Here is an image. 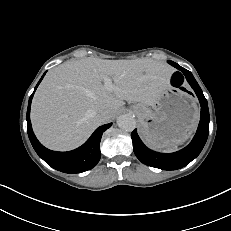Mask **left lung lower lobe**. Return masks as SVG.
Masks as SVG:
<instances>
[{"instance_id": "0a47b994", "label": "left lung lower lobe", "mask_w": 231, "mask_h": 231, "mask_svg": "<svg viewBox=\"0 0 231 231\" xmlns=\"http://www.w3.org/2000/svg\"><path fill=\"white\" fill-rule=\"evenodd\" d=\"M179 69L183 72L188 83L195 91L201 105L200 123L191 143L175 153L163 154L147 148L139 138L136 130L131 134L133 150L136 157L148 166L163 170H177L189 164L200 154L209 134L210 116L207 100L192 73L181 67H179Z\"/></svg>"}]
</instances>
